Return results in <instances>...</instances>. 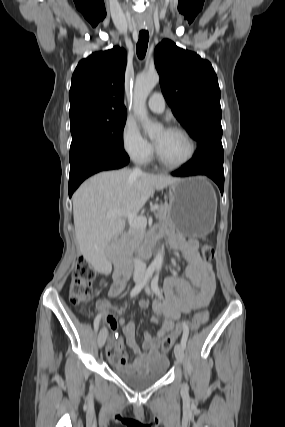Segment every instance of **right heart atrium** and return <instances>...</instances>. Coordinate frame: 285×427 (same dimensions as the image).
<instances>
[{"instance_id":"1","label":"right heart atrium","mask_w":285,"mask_h":427,"mask_svg":"<svg viewBox=\"0 0 285 427\" xmlns=\"http://www.w3.org/2000/svg\"><path fill=\"white\" fill-rule=\"evenodd\" d=\"M121 143L124 152L133 160L146 163L153 155L152 145L144 138L138 125L127 120L121 131Z\"/></svg>"}]
</instances>
